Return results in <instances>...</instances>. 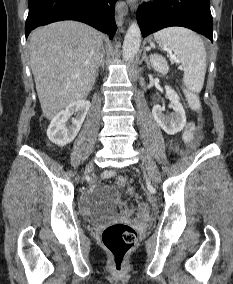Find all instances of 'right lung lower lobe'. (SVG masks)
Segmentation results:
<instances>
[{"instance_id": "right-lung-lower-lobe-1", "label": "right lung lower lobe", "mask_w": 233, "mask_h": 284, "mask_svg": "<svg viewBox=\"0 0 233 284\" xmlns=\"http://www.w3.org/2000/svg\"><path fill=\"white\" fill-rule=\"evenodd\" d=\"M117 0H29L26 37L38 26L60 20H77L107 33L116 31L114 18Z\"/></svg>"}]
</instances>
